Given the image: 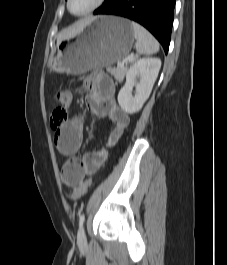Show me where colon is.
<instances>
[{
    "label": "colon",
    "mask_w": 227,
    "mask_h": 265,
    "mask_svg": "<svg viewBox=\"0 0 227 265\" xmlns=\"http://www.w3.org/2000/svg\"><path fill=\"white\" fill-rule=\"evenodd\" d=\"M54 100L59 104V107L54 110L51 116V126L53 129L60 128L67 120V109L71 104L72 94L69 90L60 89L54 93ZM74 160H68L62 167V177L68 179L71 168L74 164ZM91 179H87L79 184L72 192L71 199L73 201L79 200L89 189L91 185Z\"/></svg>",
    "instance_id": "5ec220e1"
}]
</instances>
